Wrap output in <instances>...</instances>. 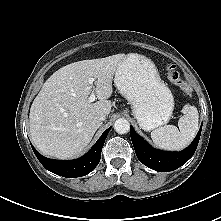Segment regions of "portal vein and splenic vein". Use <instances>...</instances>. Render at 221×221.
Instances as JSON below:
<instances>
[{"instance_id": "obj_1", "label": "portal vein and splenic vein", "mask_w": 221, "mask_h": 221, "mask_svg": "<svg viewBox=\"0 0 221 221\" xmlns=\"http://www.w3.org/2000/svg\"><path fill=\"white\" fill-rule=\"evenodd\" d=\"M95 81V79L94 78H89L88 79V83L90 84V85H93V82ZM95 99H96V95H95V93L93 92V93H91V95L89 96V98H88V102H94L95 101Z\"/></svg>"}]
</instances>
